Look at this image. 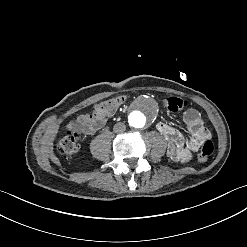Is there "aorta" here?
<instances>
[{"label":"aorta","instance_id":"762f6f07","mask_svg":"<svg viewBox=\"0 0 247 247\" xmlns=\"http://www.w3.org/2000/svg\"><path fill=\"white\" fill-rule=\"evenodd\" d=\"M145 121H146L145 116L138 111L134 112V114L130 116V125L132 127L141 128L145 125Z\"/></svg>","mask_w":247,"mask_h":247}]
</instances>
